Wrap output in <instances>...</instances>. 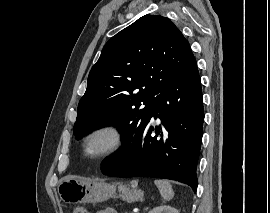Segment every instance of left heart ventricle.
I'll return each instance as SVG.
<instances>
[{"mask_svg": "<svg viewBox=\"0 0 270 213\" xmlns=\"http://www.w3.org/2000/svg\"><path fill=\"white\" fill-rule=\"evenodd\" d=\"M103 143H104L103 139L100 138L95 139L94 141L91 142L89 148L92 151H98L102 147Z\"/></svg>", "mask_w": 270, "mask_h": 213, "instance_id": "b2bd125f", "label": "left heart ventricle"}]
</instances>
